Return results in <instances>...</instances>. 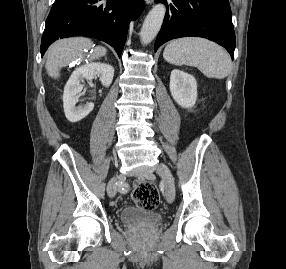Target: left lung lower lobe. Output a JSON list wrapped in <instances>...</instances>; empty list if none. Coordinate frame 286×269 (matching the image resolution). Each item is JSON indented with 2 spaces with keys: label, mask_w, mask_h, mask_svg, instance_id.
<instances>
[{
  "label": "left lung lower lobe",
  "mask_w": 286,
  "mask_h": 269,
  "mask_svg": "<svg viewBox=\"0 0 286 269\" xmlns=\"http://www.w3.org/2000/svg\"><path fill=\"white\" fill-rule=\"evenodd\" d=\"M167 7L154 51L179 37L195 36L213 40L225 47L232 59L235 33L228 0H155Z\"/></svg>",
  "instance_id": "left-lung-lower-lobe-1"
}]
</instances>
